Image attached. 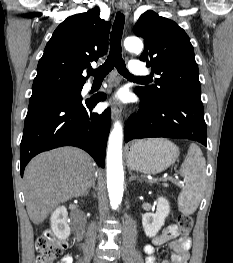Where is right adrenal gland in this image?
Wrapping results in <instances>:
<instances>
[{"label":"right adrenal gland","instance_id":"obj_1","mask_svg":"<svg viewBox=\"0 0 233 263\" xmlns=\"http://www.w3.org/2000/svg\"><path fill=\"white\" fill-rule=\"evenodd\" d=\"M92 188H93V189L95 188V179L93 180L92 184L90 185L89 189L87 190L86 195L89 194V192H90V190H91Z\"/></svg>","mask_w":233,"mask_h":263}]
</instances>
